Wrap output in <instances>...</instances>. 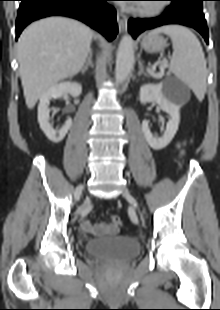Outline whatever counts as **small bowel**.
Listing matches in <instances>:
<instances>
[{"mask_svg": "<svg viewBox=\"0 0 220 310\" xmlns=\"http://www.w3.org/2000/svg\"><path fill=\"white\" fill-rule=\"evenodd\" d=\"M183 144H179V148L182 147ZM82 229L86 233L96 234V235H111L116 232L113 226L105 224V223L93 224L89 218H84L82 220Z\"/></svg>", "mask_w": 220, "mask_h": 310, "instance_id": "obj_1", "label": "small bowel"}]
</instances>
